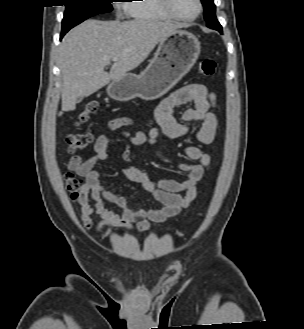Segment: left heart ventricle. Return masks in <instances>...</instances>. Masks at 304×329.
I'll return each instance as SVG.
<instances>
[{
  "mask_svg": "<svg viewBox=\"0 0 304 329\" xmlns=\"http://www.w3.org/2000/svg\"><path fill=\"white\" fill-rule=\"evenodd\" d=\"M174 11L184 17H192L198 11L197 0H171Z\"/></svg>",
  "mask_w": 304,
  "mask_h": 329,
  "instance_id": "obj_1",
  "label": "left heart ventricle"
}]
</instances>
